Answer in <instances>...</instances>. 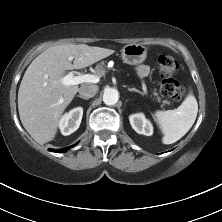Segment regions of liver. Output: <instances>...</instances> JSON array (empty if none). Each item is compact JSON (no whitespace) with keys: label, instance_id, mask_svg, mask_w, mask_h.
Segmentation results:
<instances>
[{"label":"liver","instance_id":"obj_1","mask_svg":"<svg viewBox=\"0 0 222 222\" xmlns=\"http://www.w3.org/2000/svg\"><path fill=\"white\" fill-rule=\"evenodd\" d=\"M113 53L86 44H64L48 48L31 62L19 87L18 111L22 125L36 142L54 139L64 110L79 91L77 85L62 83L65 71L88 67Z\"/></svg>","mask_w":222,"mask_h":222}]
</instances>
